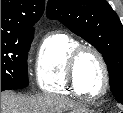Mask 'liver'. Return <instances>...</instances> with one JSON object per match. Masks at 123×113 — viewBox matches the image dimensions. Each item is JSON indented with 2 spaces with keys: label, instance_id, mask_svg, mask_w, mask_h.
<instances>
[{
  "label": "liver",
  "instance_id": "6515ba94",
  "mask_svg": "<svg viewBox=\"0 0 123 113\" xmlns=\"http://www.w3.org/2000/svg\"><path fill=\"white\" fill-rule=\"evenodd\" d=\"M78 104L59 95H17L1 92V113H63L77 111Z\"/></svg>",
  "mask_w": 123,
  "mask_h": 113
}]
</instances>
